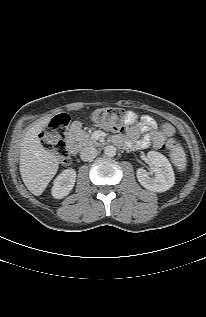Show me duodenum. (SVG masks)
I'll list each match as a JSON object with an SVG mask.
<instances>
[{
	"mask_svg": "<svg viewBox=\"0 0 206 317\" xmlns=\"http://www.w3.org/2000/svg\"><path fill=\"white\" fill-rule=\"evenodd\" d=\"M80 130H81L80 123L75 122L71 125V127L68 128V130L65 133L66 143L72 154H75L77 152L76 144L78 142V139L76 135L77 133L80 132Z\"/></svg>",
	"mask_w": 206,
	"mask_h": 317,
	"instance_id": "obj_1",
	"label": "duodenum"
}]
</instances>
